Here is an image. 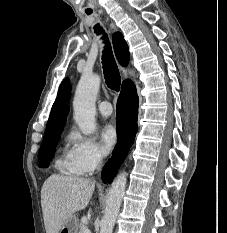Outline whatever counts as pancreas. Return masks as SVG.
<instances>
[{"instance_id": "cf45deb5", "label": "pancreas", "mask_w": 227, "mask_h": 233, "mask_svg": "<svg viewBox=\"0 0 227 233\" xmlns=\"http://www.w3.org/2000/svg\"><path fill=\"white\" fill-rule=\"evenodd\" d=\"M86 229V225L83 223L79 224V232L78 233H84V230Z\"/></svg>"}]
</instances>
